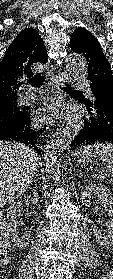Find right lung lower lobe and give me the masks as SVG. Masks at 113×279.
<instances>
[{"label": "right lung lower lobe", "instance_id": "right-lung-lower-lobe-1", "mask_svg": "<svg viewBox=\"0 0 113 279\" xmlns=\"http://www.w3.org/2000/svg\"><path fill=\"white\" fill-rule=\"evenodd\" d=\"M30 123V114L25 111L20 120L0 125V140L20 141L34 148L38 154H41L38 144L40 136L46 130V126L41 130H37L31 128Z\"/></svg>", "mask_w": 113, "mask_h": 279}]
</instances>
